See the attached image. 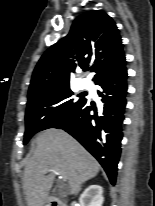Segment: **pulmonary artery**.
I'll return each instance as SVG.
<instances>
[{"instance_id": "e3ab8cb5", "label": "pulmonary artery", "mask_w": 155, "mask_h": 206, "mask_svg": "<svg viewBox=\"0 0 155 206\" xmlns=\"http://www.w3.org/2000/svg\"><path fill=\"white\" fill-rule=\"evenodd\" d=\"M80 85L82 88H89L91 86V83L88 79L84 78L80 81Z\"/></svg>"}]
</instances>
